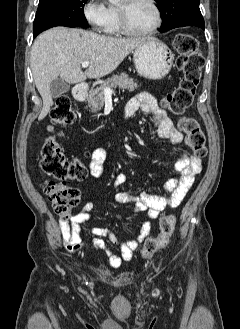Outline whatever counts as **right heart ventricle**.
Listing matches in <instances>:
<instances>
[{"label":"right heart ventricle","instance_id":"1","mask_svg":"<svg viewBox=\"0 0 240 329\" xmlns=\"http://www.w3.org/2000/svg\"><path fill=\"white\" fill-rule=\"evenodd\" d=\"M107 13H108L107 21L103 28L104 32L112 36L122 34L119 24L117 7L114 5H110L107 8Z\"/></svg>","mask_w":240,"mask_h":329}]
</instances>
